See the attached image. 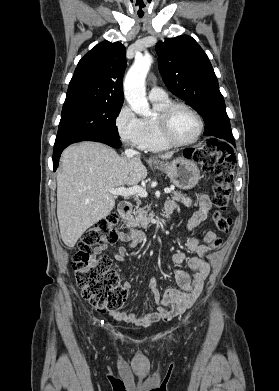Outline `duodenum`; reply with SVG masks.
Listing matches in <instances>:
<instances>
[{
    "instance_id": "1",
    "label": "duodenum",
    "mask_w": 279,
    "mask_h": 391,
    "mask_svg": "<svg viewBox=\"0 0 279 391\" xmlns=\"http://www.w3.org/2000/svg\"><path fill=\"white\" fill-rule=\"evenodd\" d=\"M131 211H132V205L128 201H122L118 206V213L120 215V218L124 222H127L130 219ZM171 213H172L171 209L164 208V215L166 218H170ZM143 238H144V234L139 232H136L132 235V239L134 242H139L143 240Z\"/></svg>"
}]
</instances>
